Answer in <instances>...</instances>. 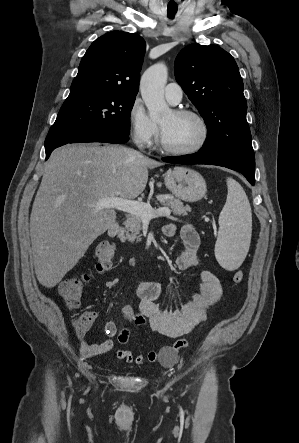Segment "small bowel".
<instances>
[{
    "mask_svg": "<svg viewBox=\"0 0 299 443\" xmlns=\"http://www.w3.org/2000/svg\"><path fill=\"white\" fill-rule=\"evenodd\" d=\"M176 228L173 224L165 225L163 233L167 237L175 235ZM182 247L174 260L176 268L186 270L200 265L199 245L200 237L197 230L190 224L183 226L181 230ZM139 297V305L136 311L138 316L134 327L141 328L146 323L150 328L160 335L178 338L204 320L207 310L217 303L223 294V288L218 277L211 271L204 269L200 274V281L196 290L181 304L178 310L172 311L160 305L163 297L162 287L159 283L149 280L139 279L136 288ZM92 321L97 317L95 312L88 313ZM105 333L109 337L101 343H81V353L86 358H93L106 354L113 350V337L117 336L118 342L126 345L130 339V329L124 328L118 330L113 321L105 324ZM188 345L187 341L180 339L176 341L169 349L176 354L180 349ZM116 357L126 363H135L139 366L147 362H156L159 355L156 351H150L146 355L139 354L134 356L127 349H119Z\"/></svg>",
    "mask_w": 299,
    "mask_h": 443,
    "instance_id": "small-bowel-1",
    "label": "small bowel"
}]
</instances>
